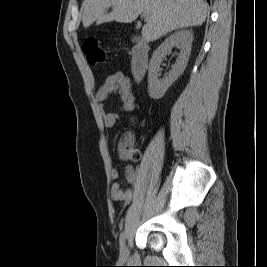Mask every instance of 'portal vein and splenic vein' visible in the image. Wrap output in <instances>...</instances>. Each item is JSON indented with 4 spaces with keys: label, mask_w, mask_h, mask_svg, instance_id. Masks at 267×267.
I'll return each instance as SVG.
<instances>
[{
    "label": "portal vein and splenic vein",
    "mask_w": 267,
    "mask_h": 267,
    "mask_svg": "<svg viewBox=\"0 0 267 267\" xmlns=\"http://www.w3.org/2000/svg\"><path fill=\"white\" fill-rule=\"evenodd\" d=\"M142 16H144V17H145V16H146V13H142Z\"/></svg>",
    "instance_id": "18ae733b"
}]
</instances>
